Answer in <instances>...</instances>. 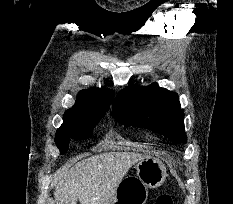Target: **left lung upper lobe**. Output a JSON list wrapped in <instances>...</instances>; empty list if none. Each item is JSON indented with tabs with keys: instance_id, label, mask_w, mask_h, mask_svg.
Instances as JSON below:
<instances>
[{
	"instance_id": "obj_1",
	"label": "left lung upper lobe",
	"mask_w": 233,
	"mask_h": 204,
	"mask_svg": "<svg viewBox=\"0 0 233 204\" xmlns=\"http://www.w3.org/2000/svg\"><path fill=\"white\" fill-rule=\"evenodd\" d=\"M112 109V116L121 124L146 128L178 143L187 141L177 94L157 83L124 88L116 96Z\"/></svg>"
}]
</instances>
